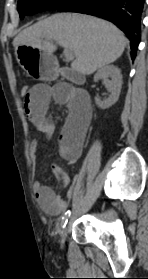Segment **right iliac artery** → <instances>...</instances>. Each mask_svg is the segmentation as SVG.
<instances>
[{
    "label": "right iliac artery",
    "instance_id": "1",
    "mask_svg": "<svg viewBox=\"0 0 148 279\" xmlns=\"http://www.w3.org/2000/svg\"><path fill=\"white\" fill-rule=\"evenodd\" d=\"M71 212L68 210L67 212H65L64 216L62 217L61 220V226L64 228L68 222V218L70 217Z\"/></svg>",
    "mask_w": 148,
    "mask_h": 279
}]
</instances>
